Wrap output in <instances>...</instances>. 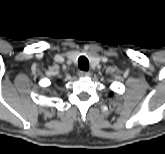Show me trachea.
<instances>
[{"label": "trachea", "mask_w": 165, "mask_h": 154, "mask_svg": "<svg viewBox=\"0 0 165 154\" xmlns=\"http://www.w3.org/2000/svg\"><path fill=\"white\" fill-rule=\"evenodd\" d=\"M78 66L83 71H88L89 69V61L85 56H81L78 59Z\"/></svg>", "instance_id": "trachea-1"}]
</instances>
